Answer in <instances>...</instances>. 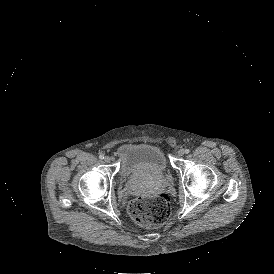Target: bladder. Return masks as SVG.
<instances>
[{"instance_id": "bladder-1", "label": "bladder", "mask_w": 274, "mask_h": 274, "mask_svg": "<svg viewBox=\"0 0 274 274\" xmlns=\"http://www.w3.org/2000/svg\"><path fill=\"white\" fill-rule=\"evenodd\" d=\"M118 173L125 180L137 173L162 176L168 171L166 157L157 145L121 143L115 149Z\"/></svg>"}]
</instances>
